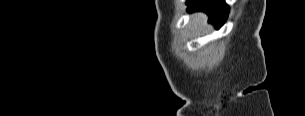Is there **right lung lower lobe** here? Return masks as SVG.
I'll use <instances>...</instances> for the list:
<instances>
[{
	"mask_svg": "<svg viewBox=\"0 0 305 116\" xmlns=\"http://www.w3.org/2000/svg\"><path fill=\"white\" fill-rule=\"evenodd\" d=\"M188 9L204 11L208 14L210 23L220 28L227 19L229 7L224 0H187Z\"/></svg>",
	"mask_w": 305,
	"mask_h": 116,
	"instance_id": "98d812e1",
	"label": "right lung lower lobe"
}]
</instances>
